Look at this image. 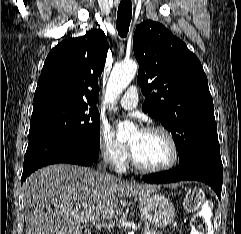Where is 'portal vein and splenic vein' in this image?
<instances>
[{
  "mask_svg": "<svg viewBox=\"0 0 241 234\" xmlns=\"http://www.w3.org/2000/svg\"><path fill=\"white\" fill-rule=\"evenodd\" d=\"M77 217H79V216H77ZM146 234H150L149 232H147Z\"/></svg>",
  "mask_w": 241,
  "mask_h": 234,
  "instance_id": "portal-vein-and-splenic-vein-1",
  "label": "portal vein and splenic vein"
}]
</instances>
